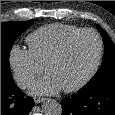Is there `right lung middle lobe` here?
Instances as JSON below:
<instances>
[{
  "label": "right lung middle lobe",
  "instance_id": "dd1d6c3e",
  "mask_svg": "<svg viewBox=\"0 0 115 115\" xmlns=\"http://www.w3.org/2000/svg\"><path fill=\"white\" fill-rule=\"evenodd\" d=\"M32 23L33 19L1 23V81L13 80L9 65L10 51L17 37Z\"/></svg>",
  "mask_w": 115,
  "mask_h": 115
}]
</instances>
